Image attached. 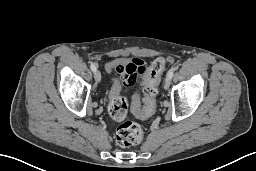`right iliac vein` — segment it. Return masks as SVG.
Listing matches in <instances>:
<instances>
[{
	"instance_id": "obj_1",
	"label": "right iliac vein",
	"mask_w": 256,
	"mask_h": 171,
	"mask_svg": "<svg viewBox=\"0 0 256 171\" xmlns=\"http://www.w3.org/2000/svg\"><path fill=\"white\" fill-rule=\"evenodd\" d=\"M94 78H95L96 82H98V83L101 81V73L99 70H96L94 72Z\"/></svg>"
}]
</instances>
